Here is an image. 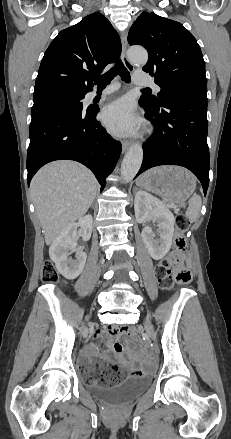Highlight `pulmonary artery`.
Returning a JSON list of instances; mask_svg holds the SVG:
<instances>
[{
	"mask_svg": "<svg viewBox=\"0 0 231 439\" xmlns=\"http://www.w3.org/2000/svg\"><path fill=\"white\" fill-rule=\"evenodd\" d=\"M133 80L136 84L138 85H144V86H151L154 88L155 92H159L160 91V87L154 82V80L151 78V76L145 72H142L140 70L135 71V73L133 74ZM118 88V85L113 84L108 86L107 88H105L102 92H90L88 94V100H92L95 97L101 95H107L112 93L113 91H115Z\"/></svg>",
	"mask_w": 231,
	"mask_h": 439,
	"instance_id": "e3ab8cb5",
	"label": "pulmonary artery"
}]
</instances>
